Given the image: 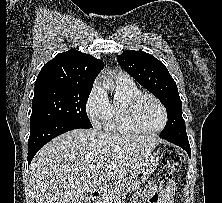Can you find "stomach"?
<instances>
[{"instance_id": "0dacf381", "label": "stomach", "mask_w": 222, "mask_h": 203, "mask_svg": "<svg viewBox=\"0 0 222 203\" xmlns=\"http://www.w3.org/2000/svg\"><path fill=\"white\" fill-rule=\"evenodd\" d=\"M159 161V153L151 152L142 164L124 178L121 184L122 191L132 192L143 185L155 171Z\"/></svg>"}]
</instances>
